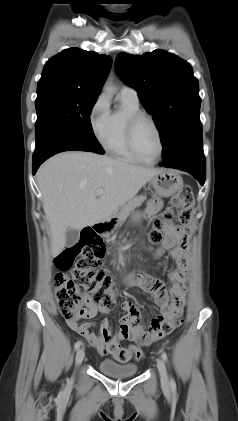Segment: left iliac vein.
<instances>
[{"instance_id":"4c4485c4","label":"left iliac vein","mask_w":238,"mask_h":421,"mask_svg":"<svg viewBox=\"0 0 238 421\" xmlns=\"http://www.w3.org/2000/svg\"><path fill=\"white\" fill-rule=\"evenodd\" d=\"M157 368L159 370L160 380H161L162 385L165 387H168L169 379H168L166 365L163 359L161 358L157 359Z\"/></svg>"}]
</instances>
